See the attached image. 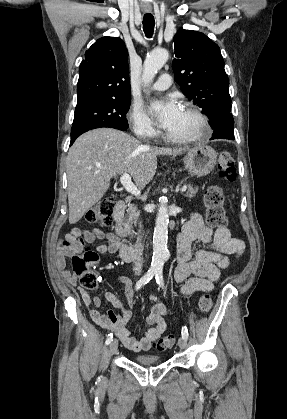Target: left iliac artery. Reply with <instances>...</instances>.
<instances>
[{"instance_id":"left-iliac-artery-1","label":"left iliac artery","mask_w":287,"mask_h":419,"mask_svg":"<svg viewBox=\"0 0 287 419\" xmlns=\"http://www.w3.org/2000/svg\"><path fill=\"white\" fill-rule=\"evenodd\" d=\"M155 279H156L157 284L164 289V279H163L162 270H157V272L155 274ZM181 333H182V337L187 340L188 339V330H187L186 327L182 328Z\"/></svg>"}]
</instances>
